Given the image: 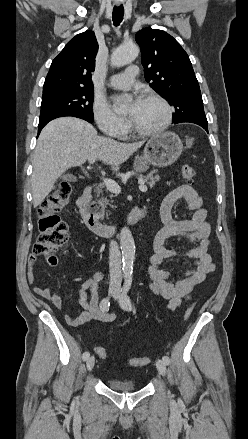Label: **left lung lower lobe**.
<instances>
[{
    "mask_svg": "<svg viewBox=\"0 0 248 439\" xmlns=\"http://www.w3.org/2000/svg\"><path fill=\"white\" fill-rule=\"evenodd\" d=\"M182 122H190V123L197 124V125L203 127L208 132V122H207V120H181L178 123H182Z\"/></svg>",
    "mask_w": 248,
    "mask_h": 439,
    "instance_id": "left-lung-lower-lobe-1",
    "label": "left lung lower lobe"
}]
</instances>
